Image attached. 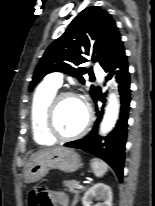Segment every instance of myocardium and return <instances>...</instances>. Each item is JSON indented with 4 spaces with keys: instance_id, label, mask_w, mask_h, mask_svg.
Segmentation results:
<instances>
[{
    "instance_id": "1",
    "label": "myocardium",
    "mask_w": 155,
    "mask_h": 206,
    "mask_svg": "<svg viewBox=\"0 0 155 206\" xmlns=\"http://www.w3.org/2000/svg\"><path fill=\"white\" fill-rule=\"evenodd\" d=\"M65 98H76L82 102L85 108L86 112V119L83 127L76 133L71 135H62L56 128L55 125V115L57 107L61 100ZM44 124H45V130L48 133L49 136H51L53 139L60 140V141H69L74 140L77 138H80L84 136L90 129L92 124V112L90 107L87 105V103L75 92L71 91H62L56 93L53 98L50 100L44 114Z\"/></svg>"
}]
</instances>
